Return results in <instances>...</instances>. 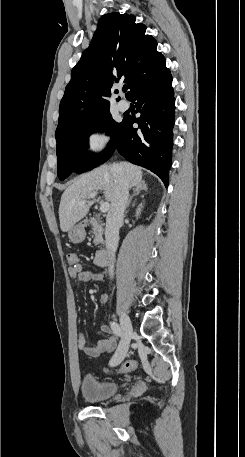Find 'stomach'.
<instances>
[{"instance_id":"obj_1","label":"stomach","mask_w":245,"mask_h":457,"mask_svg":"<svg viewBox=\"0 0 245 457\" xmlns=\"http://www.w3.org/2000/svg\"><path fill=\"white\" fill-rule=\"evenodd\" d=\"M68 237L71 243H82L86 237L85 224L78 222V224L71 226L70 231H68Z\"/></svg>"}]
</instances>
